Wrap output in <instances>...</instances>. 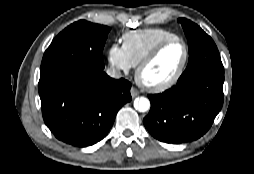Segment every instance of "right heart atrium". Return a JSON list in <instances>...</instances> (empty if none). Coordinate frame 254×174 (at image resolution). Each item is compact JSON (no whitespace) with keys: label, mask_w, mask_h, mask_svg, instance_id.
<instances>
[{"label":"right heart atrium","mask_w":254,"mask_h":174,"mask_svg":"<svg viewBox=\"0 0 254 174\" xmlns=\"http://www.w3.org/2000/svg\"><path fill=\"white\" fill-rule=\"evenodd\" d=\"M107 59L110 66L117 72L128 73L134 67L128 59L123 47L118 43H112L109 46Z\"/></svg>","instance_id":"d8ad5b80"}]
</instances>
